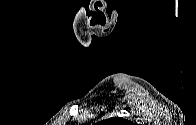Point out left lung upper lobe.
I'll use <instances>...</instances> for the list:
<instances>
[{
	"mask_svg": "<svg viewBox=\"0 0 196 125\" xmlns=\"http://www.w3.org/2000/svg\"><path fill=\"white\" fill-rule=\"evenodd\" d=\"M102 124L103 125H131V122L123 118L112 117V118L103 120Z\"/></svg>",
	"mask_w": 196,
	"mask_h": 125,
	"instance_id": "obj_1",
	"label": "left lung upper lobe"
}]
</instances>
